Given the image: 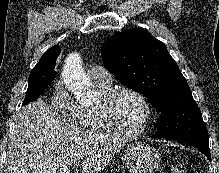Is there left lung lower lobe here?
<instances>
[{
    "label": "left lung lower lobe",
    "mask_w": 219,
    "mask_h": 173,
    "mask_svg": "<svg viewBox=\"0 0 219 173\" xmlns=\"http://www.w3.org/2000/svg\"><path fill=\"white\" fill-rule=\"evenodd\" d=\"M175 140L194 146L199 151H201L209 160H211V155L209 150V140L203 138H197V137L181 138Z\"/></svg>",
    "instance_id": "0a47b994"
}]
</instances>
